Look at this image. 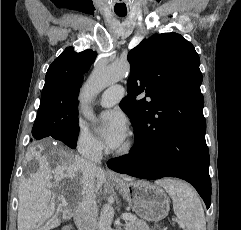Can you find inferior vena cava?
Segmentation results:
<instances>
[{"label": "inferior vena cava", "mask_w": 241, "mask_h": 230, "mask_svg": "<svg viewBox=\"0 0 241 230\" xmlns=\"http://www.w3.org/2000/svg\"><path fill=\"white\" fill-rule=\"evenodd\" d=\"M101 152L89 150L84 153L81 164L82 201L74 213L78 230H96L97 205L95 194V170L101 161Z\"/></svg>", "instance_id": "obj_1"}]
</instances>
